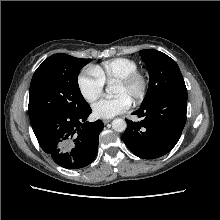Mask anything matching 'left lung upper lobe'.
Instances as JSON below:
<instances>
[{
    "mask_svg": "<svg viewBox=\"0 0 220 220\" xmlns=\"http://www.w3.org/2000/svg\"><path fill=\"white\" fill-rule=\"evenodd\" d=\"M139 54L149 72V88L141 107L153 103L164 95L187 91L180 69L172 58L153 49H144Z\"/></svg>",
    "mask_w": 220,
    "mask_h": 220,
    "instance_id": "1",
    "label": "left lung upper lobe"
}]
</instances>
